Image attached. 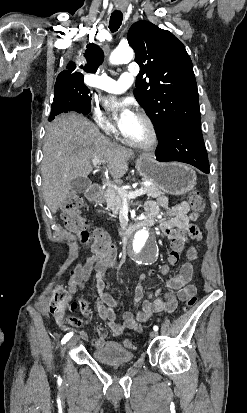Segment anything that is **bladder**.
Returning <instances> with one entry per match:
<instances>
[{
  "label": "bladder",
  "instance_id": "31cf9c89",
  "mask_svg": "<svg viewBox=\"0 0 247 413\" xmlns=\"http://www.w3.org/2000/svg\"><path fill=\"white\" fill-rule=\"evenodd\" d=\"M96 361L103 363L131 362L135 354L128 349H124L120 343L105 342L103 347L92 352Z\"/></svg>",
  "mask_w": 247,
  "mask_h": 413
}]
</instances>
